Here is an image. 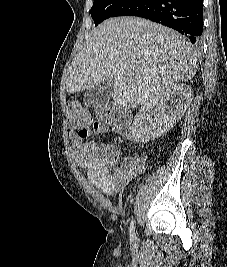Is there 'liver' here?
<instances>
[{"label": "liver", "mask_w": 227, "mask_h": 267, "mask_svg": "<svg viewBox=\"0 0 227 267\" xmlns=\"http://www.w3.org/2000/svg\"><path fill=\"white\" fill-rule=\"evenodd\" d=\"M197 50L178 32L137 17L108 19L97 26L66 76L69 94L103 82L113 84L121 108L141 105L197 71ZM132 71L131 76L126 74Z\"/></svg>", "instance_id": "liver-1"}]
</instances>
